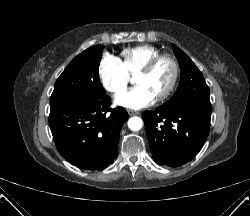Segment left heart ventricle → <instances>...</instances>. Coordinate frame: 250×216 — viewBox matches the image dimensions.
Masks as SVG:
<instances>
[{
	"mask_svg": "<svg viewBox=\"0 0 250 216\" xmlns=\"http://www.w3.org/2000/svg\"><path fill=\"white\" fill-rule=\"evenodd\" d=\"M171 73V65L167 61H162L151 73L136 76V82L145 85L156 96L167 87Z\"/></svg>",
	"mask_w": 250,
	"mask_h": 216,
	"instance_id": "obj_1",
	"label": "left heart ventricle"
}]
</instances>
